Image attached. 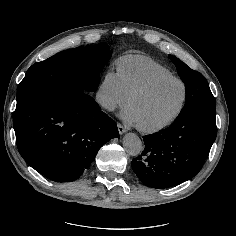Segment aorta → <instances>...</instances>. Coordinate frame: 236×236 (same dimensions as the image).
<instances>
[{
  "instance_id": "aorta-1",
  "label": "aorta",
  "mask_w": 236,
  "mask_h": 236,
  "mask_svg": "<svg viewBox=\"0 0 236 236\" xmlns=\"http://www.w3.org/2000/svg\"><path fill=\"white\" fill-rule=\"evenodd\" d=\"M123 147L131 156H138L143 150L141 139L134 133H127L123 137Z\"/></svg>"
}]
</instances>
